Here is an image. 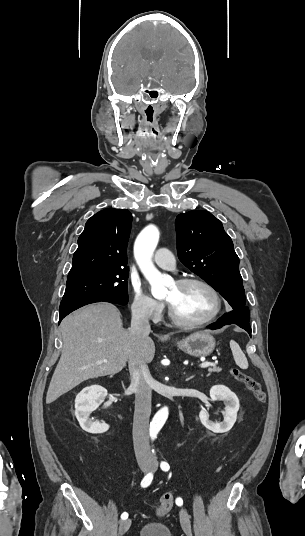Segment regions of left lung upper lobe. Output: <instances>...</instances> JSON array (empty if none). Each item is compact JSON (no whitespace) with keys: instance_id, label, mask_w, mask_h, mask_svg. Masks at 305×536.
<instances>
[{"instance_id":"obj_1","label":"left lung upper lobe","mask_w":305,"mask_h":536,"mask_svg":"<svg viewBox=\"0 0 305 536\" xmlns=\"http://www.w3.org/2000/svg\"><path fill=\"white\" fill-rule=\"evenodd\" d=\"M180 261L228 301L233 310L245 307L239 258L220 220L207 211H189L176 218Z\"/></svg>"}]
</instances>
